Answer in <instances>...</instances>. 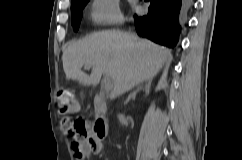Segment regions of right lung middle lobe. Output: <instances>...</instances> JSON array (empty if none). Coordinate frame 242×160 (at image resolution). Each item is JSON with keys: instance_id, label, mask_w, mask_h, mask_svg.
<instances>
[{"instance_id": "obj_1", "label": "right lung middle lobe", "mask_w": 242, "mask_h": 160, "mask_svg": "<svg viewBox=\"0 0 242 160\" xmlns=\"http://www.w3.org/2000/svg\"><path fill=\"white\" fill-rule=\"evenodd\" d=\"M89 0H75L71 3L72 25L75 31L79 29L82 10Z\"/></svg>"}]
</instances>
